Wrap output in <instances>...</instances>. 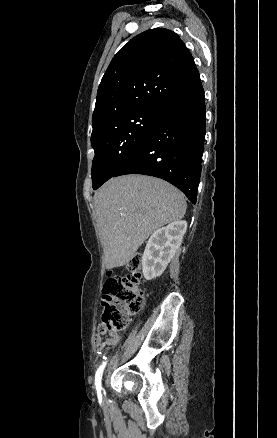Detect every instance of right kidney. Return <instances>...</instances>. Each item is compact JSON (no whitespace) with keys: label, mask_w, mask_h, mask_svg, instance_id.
Segmentation results:
<instances>
[{"label":"right kidney","mask_w":277,"mask_h":438,"mask_svg":"<svg viewBox=\"0 0 277 438\" xmlns=\"http://www.w3.org/2000/svg\"><path fill=\"white\" fill-rule=\"evenodd\" d=\"M186 230L187 222L178 220L153 232L142 258V272L145 280H154L163 274L176 250L181 246Z\"/></svg>","instance_id":"right-kidney-1"}]
</instances>
